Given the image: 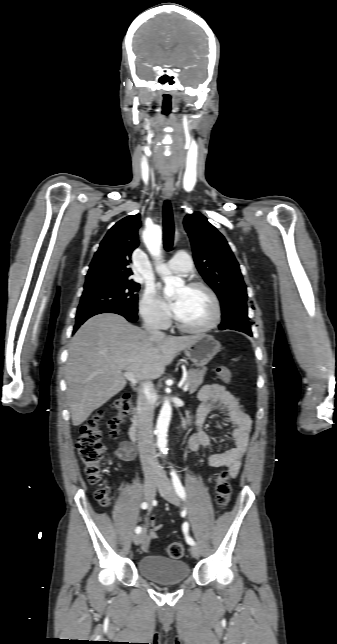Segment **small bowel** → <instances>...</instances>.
Instances as JSON below:
<instances>
[{"label": "small bowel", "mask_w": 337, "mask_h": 644, "mask_svg": "<svg viewBox=\"0 0 337 644\" xmlns=\"http://www.w3.org/2000/svg\"><path fill=\"white\" fill-rule=\"evenodd\" d=\"M198 399L201 404L196 415L197 431L189 439V451L194 453L199 448L211 445L210 436L203 430L205 419L213 410L223 411L226 421L232 425L228 436L234 442V446L225 452H210L207 460L212 467H227L229 475L235 477L247 451L252 421L240 398L222 385L203 386L198 393ZM115 455L122 461H132L136 456V450L131 443L123 442L116 449ZM145 521V537L141 542V548L147 551L151 542L157 539V531L163 528V524L151 514L146 515Z\"/></svg>", "instance_id": "c3829d8e"}]
</instances>
